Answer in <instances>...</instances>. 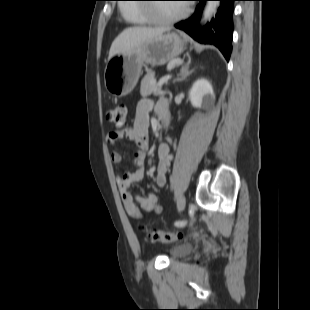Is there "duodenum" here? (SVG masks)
Instances as JSON below:
<instances>
[{
	"instance_id": "1",
	"label": "duodenum",
	"mask_w": 310,
	"mask_h": 310,
	"mask_svg": "<svg viewBox=\"0 0 310 310\" xmlns=\"http://www.w3.org/2000/svg\"><path fill=\"white\" fill-rule=\"evenodd\" d=\"M161 117H162L163 119H166L167 114H166V113H161Z\"/></svg>"
}]
</instances>
